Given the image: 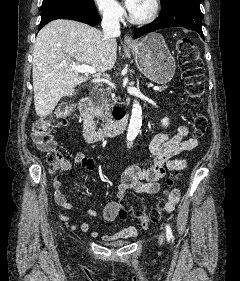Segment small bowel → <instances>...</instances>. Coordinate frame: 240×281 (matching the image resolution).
<instances>
[{"instance_id":"small-bowel-1","label":"small bowel","mask_w":240,"mask_h":281,"mask_svg":"<svg viewBox=\"0 0 240 281\" xmlns=\"http://www.w3.org/2000/svg\"><path fill=\"white\" fill-rule=\"evenodd\" d=\"M189 130L186 126H180L176 134L169 133L156 134L150 144L149 151L153 156L152 165L147 168H142L137 164L129 165L120 174V183L116 190V198L108 202L102 211L104 220L108 223L114 222L118 217L120 203L125 194L129 191L138 194H156L161 188L160 181L166 175L167 171H178L186 167V160L175 158L184 151L194 149L198 145L196 138H187ZM94 172L97 169L96 162L93 158L88 157L82 152L75 155L73 163L61 156L59 167L62 172L68 173L72 166ZM52 188L54 190V200L56 204L66 210H72L73 205L67 200L62 192V182L55 177L52 180ZM180 200L179 189H173L168 195V201L165 207L167 213L172 212ZM87 214L96 216L94 210H88ZM63 221H68L69 217L60 215ZM72 230H80L81 232H88L89 225L87 223L74 224L71 226ZM137 234L134 227H126L118 231L114 236L116 238H128ZM92 237H97L98 232H91ZM108 238V237H105Z\"/></svg>"}]
</instances>
